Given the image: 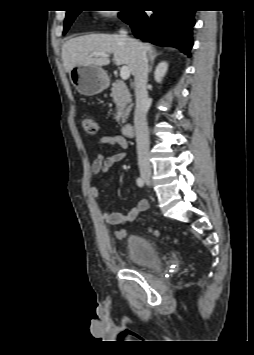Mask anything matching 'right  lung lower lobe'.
I'll return each instance as SVG.
<instances>
[{"mask_svg":"<svg viewBox=\"0 0 254 355\" xmlns=\"http://www.w3.org/2000/svg\"><path fill=\"white\" fill-rule=\"evenodd\" d=\"M161 7L147 14L142 9H132L122 18L130 25L135 36L153 44L180 49L190 56L193 46L192 27L194 10L176 7L179 3H160Z\"/></svg>","mask_w":254,"mask_h":355,"instance_id":"obj_1","label":"right lung lower lobe"}]
</instances>
